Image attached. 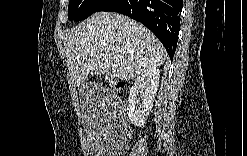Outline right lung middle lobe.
<instances>
[{
	"label": "right lung middle lobe",
	"mask_w": 247,
	"mask_h": 156,
	"mask_svg": "<svg viewBox=\"0 0 247 156\" xmlns=\"http://www.w3.org/2000/svg\"><path fill=\"white\" fill-rule=\"evenodd\" d=\"M107 0H70L68 6V19L84 20L99 9Z\"/></svg>",
	"instance_id": "1"
}]
</instances>
